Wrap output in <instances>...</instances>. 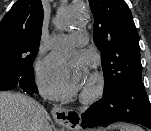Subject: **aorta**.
<instances>
[{
  "label": "aorta",
  "instance_id": "762f6f07",
  "mask_svg": "<svg viewBox=\"0 0 151 131\" xmlns=\"http://www.w3.org/2000/svg\"><path fill=\"white\" fill-rule=\"evenodd\" d=\"M76 24L77 22L75 20L69 19V20H66L63 25L64 27H71V26H75Z\"/></svg>",
  "mask_w": 151,
  "mask_h": 131
}]
</instances>
